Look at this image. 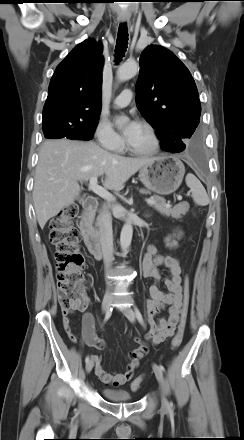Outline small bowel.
I'll list each match as a JSON object with an SVG mask.
<instances>
[{
    "label": "small bowel",
    "mask_w": 244,
    "mask_h": 440,
    "mask_svg": "<svg viewBox=\"0 0 244 440\" xmlns=\"http://www.w3.org/2000/svg\"><path fill=\"white\" fill-rule=\"evenodd\" d=\"M164 266L170 272V278L165 280V285L168 292H163L158 282L161 279L159 267ZM144 275L154 279V283L150 286L149 292L151 298L145 303L146 322L150 326L149 332L145 339L153 344H160L172 337L176 326L179 322L180 308L182 303V278L181 267L179 261L168 254L160 253L158 247L154 244L149 245L143 258ZM166 311L165 316H160L157 320L155 317ZM63 326L69 338L76 342L77 337L72 330L71 322L68 317L63 318ZM82 335L84 341L91 347L98 350H103L106 343L99 338L95 333V325L93 315L89 312L83 315L82 319ZM141 347L147 349L146 345L142 343L139 338H135ZM134 349L129 352V362L124 373H108L101 365V357L92 354L91 360L94 363L95 373L99 379L105 384L123 385L132 380L135 370L139 365V360L143 357L139 355L138 350Z\"/></svg>",
    "instance_id": "c3829d8e"
}]
</instances>
